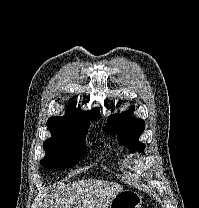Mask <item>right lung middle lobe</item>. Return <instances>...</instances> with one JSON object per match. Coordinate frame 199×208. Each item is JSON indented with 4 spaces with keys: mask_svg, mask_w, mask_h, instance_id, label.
Instances as JSON below:
<instances>
[{
    "mask_svg": "<svg viewBox=\"0 0 199 208\" xmlns=\"http://www.w3.org/2000/svg\"><path fill=\"white\" fill-rule=\"evenodd\" d=\"M51 138L45 140V157L40 164L48 168H69L79 162L86 153V131H51Z\"/></svg>",
    "mask_w": 199,
    "mask_h": 208,
    "instance_id": "1",
    "label": "right lung middle lobe"
}]
</instances>
